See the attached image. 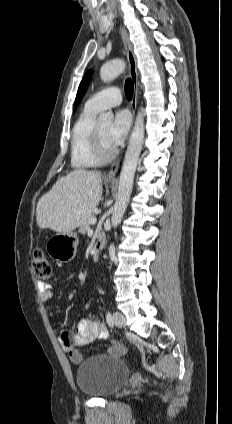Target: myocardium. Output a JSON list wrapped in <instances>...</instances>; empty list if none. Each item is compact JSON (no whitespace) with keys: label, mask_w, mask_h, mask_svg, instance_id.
<instances>
[{"label":"myocardium","mask_w":232,"mask_h":424,"mask_svg":"<svg viewBox=\"0 0 232 424\" xmlns=\"http://www.w3.org/2000/svg\"><path fill=\"white\" fill-rule=\"evenodd\" d=\"M92 147H93V154L94 157L100 162V163H107L114 159V157L117 154L116 149H112L111 151L107 152L104 149L102 138L100 134V130L98 125H95L93 130V139H92Z\"/></svg>","instance_id":"1"}]
</instances>
